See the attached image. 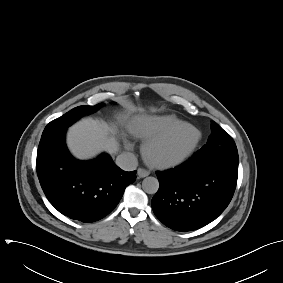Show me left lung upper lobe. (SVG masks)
Instances as JSON below:
<instances>
[{"instance_id":"5c2ea615","label":"left lung upper lobe","mask_w":283,"mask_h":283,"mask_svg":"<svg viewBox=\"0 0 283 283\" xmlns=\"http://www.w3.org/2000/svg\"><path fill=\"white\" fill-rule=\"evenodd\" d=\"M211 130L207 143L193 155V158L238 164L237 147L230 135L214 121L211 122Z\"/></svg>"}]
</instances>
